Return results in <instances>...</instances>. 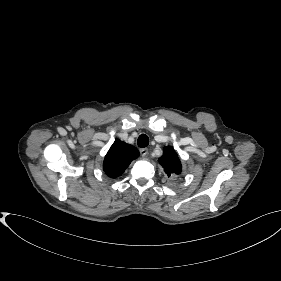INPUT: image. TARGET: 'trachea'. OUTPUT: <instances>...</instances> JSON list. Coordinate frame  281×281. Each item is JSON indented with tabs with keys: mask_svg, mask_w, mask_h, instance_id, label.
<instances>
[{
	"mask_svg": "<svg viewBox=\"0 0 281 281\" xmlns=\"http://www.w3.org/2000/svg\"><path fill=\"white\" fill-rule=\"evenodd\" d=\"M137 144L141 148L147 147L149 145V138H148V136L145 135V134H141L138 137Z\"/></svg>",
	"mask_w": 281,
	"mask_h": 281,
	"instance_id": "obj_1",
	"label": "trachea"
}]
</instances>
